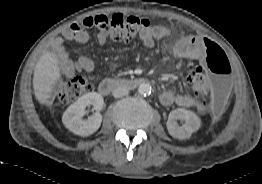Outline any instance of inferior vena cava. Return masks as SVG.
Instances as JSON below:
<instances>
[{
    "mask_svg": "<svg viewBox=\"0 0 262 184\" xmlns=\"http://www.w3.org/2000/svg\"><path fill=\"white\" fill-rule=\"evenodd\" d=\"M129 90L124 86H119L113 90V96L114 98H120L123 96L128 95Z\"/></svg>",
    "mask_w": 262,
    "mask_h": 184,
    "instance_id": "1",
    "label": "inferior vena cava"
}]
</instances>
